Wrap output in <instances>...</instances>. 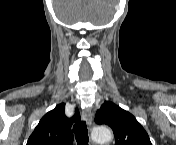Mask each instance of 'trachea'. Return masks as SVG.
I'll return each instance as SVG.
<instances>
[{"mask_svg":"<svg viewBox=\"0 0 176 145\" xmlns=\"http://www.w3.org/2000/svg\"><path fill=\"white\" fill-rule=\"evenodd\" d=\"M78 145H88V130L85 121L75 123L73 127Z\"/></svg>","mask_w":176,"mask_h":145,"instance_id":"trachea-1","label":"trachea"}]
</instances>
